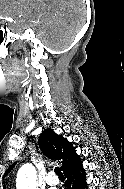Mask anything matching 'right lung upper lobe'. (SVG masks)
<instances>
[{"instance_id": "1", "label": "right lung upper lobe", "mask_w": 124, "mask_h": 189, "mask_svg": "<svg viewBox=\"0 0 124 189\" xmlns=\"http://www.w3.org/2000/svg\"><path fill=\"white\" fill-rule=\"evenodd\" d=\"M38 143L41 151L47 157L59 160L62 163L61 169L63 172L80 161L79 155L76 154L72 144L60 135L55 134L51 129H46L41 133ZM13 166L14 164L7 169L4 176L10 172Z\"/></svg>"}]
</instances>
